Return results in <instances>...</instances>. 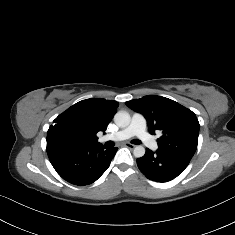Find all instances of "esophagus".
Returning a JSON list of instances; mask_svg holds the SVG:
<instances>
[{"mask_svg":"<svg viewBox=\"0 0 235 235\" xmlns=\"http://www.w3.org/2000/svg\"><path fill=\"white\" fill-rule=\"evenodd\" d=\"M124 146L127 147V148H129V149H134L136 145L131 144V143H128V142H125V143H124Z\"/></svg>","mask_w":235,"mask_h":235,"instance_id":"34e87169","label":"esophagus"}]
</instances>
